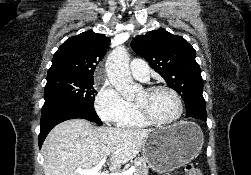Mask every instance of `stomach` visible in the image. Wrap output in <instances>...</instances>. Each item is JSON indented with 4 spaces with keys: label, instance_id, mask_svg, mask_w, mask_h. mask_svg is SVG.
<instances>
[{
    "label": "stomach",
    "instance_id": "1",
    "mask_svg": "<svg viewBox=\"0 0 251 175\" xmlns=\"http://www.w3.org/2000/svg\"><path fill=\"white\" fill-rule=\"evenodd\" d=\"M204 135L194 121H179L163 129H153L146 137L141 157L149 167L166 173L189 163L201 151Z\"/></svg>",
    "mask_w": 251,
    "mask_h": 175
}]
</instances>
